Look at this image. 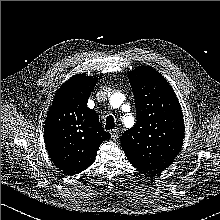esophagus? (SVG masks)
<instances>
[{
  "mask_svg": "<svg viewBox=\"0 0 220 220\" xmlns=\"http://www.w3.org/2000/svg\"><path fill=\"white\" fill-rule=\"evenodd\" d=\"M111 138L113 140H116L119 136V130L118 129H112L110 130Z\"/></svg>",
  "mask_w": 220,
  "mask_h": 220,
  "instance_id": "34e87169",
  "label": "esophagus"
}]
</instances>
